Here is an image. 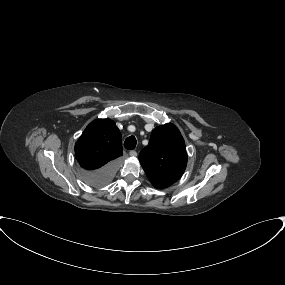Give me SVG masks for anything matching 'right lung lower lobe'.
<instances>
[{"mask_svg":"<svg viewBox=\"0 0 285 285\" xmlns=\"http://www.w3.org/2000/svg\"><path fill=\"white\" fill-rule=\"evenodd\" d=\"M116 167L117 160H114L97 170L85 171L83 180L93 187L105 186L112 180Z\"/></svg>","mask_w":285,"mask_h":285,"instance_id":"obj_1","label":"right lung lower lobe"}]
</instances>
